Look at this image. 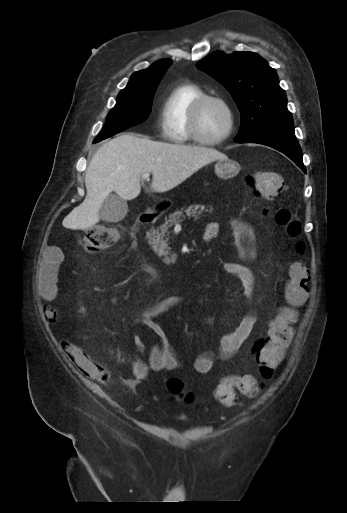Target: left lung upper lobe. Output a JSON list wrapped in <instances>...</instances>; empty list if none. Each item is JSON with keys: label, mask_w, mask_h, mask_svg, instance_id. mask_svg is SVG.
<instances>
[{"label": "left lung upper lobe", "mask_w": 347, "mask_h": 513, "mask_svg": "<svg viewBox=\"0 0 347 513\" xmlns=\"http://www.w3.org/2000/svg\"><path fill=\"white\" fill-rule=\"evenodd\" d=\"M197 66L224 85L236 102L241 112V126L235 141L273 126L293 125L277 74L259 55L215 52Z\"/></svg>", "instance_id": "left-lung-upper-lobe-1"}]
</instances>
